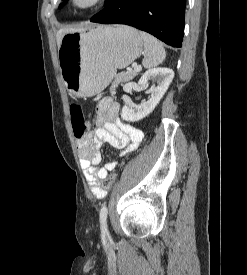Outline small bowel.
Segmentation results:
<instances>
[{
    "label": "small bowel",
    "mask_w": 247,
    "mask_h": 275,
    "mask_svg": "<svg viewBox=\"0 0 247 275\" xmlns=\"http://www.w3.org/2000/svg\"><path fill=\"white\" fill-rule=\"evenodd\" d=\"M120 105L111 98L101 100L96 107L97 128L85 138L78 140L77 148L81 166L93 195L102 199L107 191L103 189L102 180L115 169L117 161L112 160L104 166L101 162L100 148L103 143L117 149H125L123 156L135 151L143 140V132L121 120Z\"/></svg>",
    "instance_id": "1"
}]
</instances>
